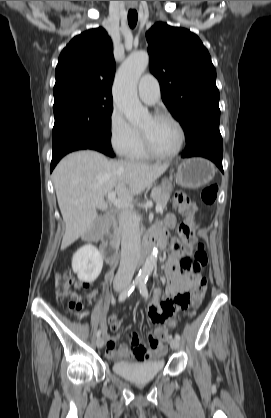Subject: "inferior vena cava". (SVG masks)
Segmentation results:
<instances>
[{
	"label": "inferior vena cava",
	"mask_w": 271,
	"mask_h": 418,
	"mask_svg": "<svg viewBox=\"0 0 271 418\" xmlns=\"http://www.w3.org/2000/svg\"><path fill=\"white\" fill-rule=\"evenodd\" d=\"M119 223L122 232L121 261L114 284H128L132 280L140 254V232L138 223L129 211L119 214Z\"/></svg>",
	"instance_id": "602c4592"
}]
</instances>
